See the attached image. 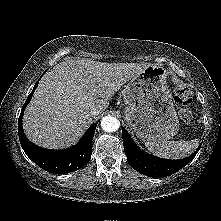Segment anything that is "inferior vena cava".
Wrapping results in <instances>:
<instances>
[{
    "instance_id": "obj_1",
    "label": "inferior vena cava",
    "mask_w": 221,
    "mask_h": 221,
    "mask_svg": "<svg viewBox=\"0 0 221 221\" xmlns=\"http://www.w3.org/2000/svg\"><path fill=\"white\" fill-rule=\"evenodd\" d=\"M99 112H100V110L95 107L90 111V114H91V116H94V115L99 114Z\"/></svg>"
}]
</instances>
